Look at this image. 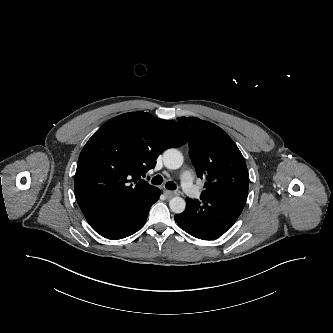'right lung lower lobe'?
<instances>
[{
	"label": "right lung lower lobe",
	"mask_w": 333,
	"mask_h": 333,
	"mask_svg": "<svg viewBox=\"0 0 333 333\" xmlns=\"http://www.w3.org/2000/svg\"><path fill=\"white\" fill-rule=\"evenodd\" d=\"M160 190L145 200L126 207L95 208L83 212L90 226L101 236L117 240L137 232L146 222L151 206L158 200Z\"/></svg>",
	"instance_id": "1"
}]
</instances>
